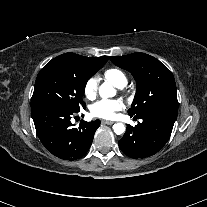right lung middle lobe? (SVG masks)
<instances>
[{"mask_svg":"<svg viewBox=\"0 0 207 207\" xmlns=\"http://www.w3.org/2000/svg\"><path fill=\"white\" fill-rule=\"evenodd\" d=\"M103 65L62 56L52 59L37 76L31 108L57 105L79 111L81 105L85 107L82 97L88 79Z\"/></svg>","mask_w":207,"mask_h":207,"instance_id":"dd1d6c3e","label":"right lung middle lobe"}]
</instances>
